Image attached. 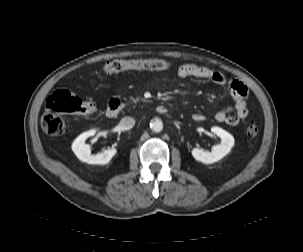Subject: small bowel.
<instances>
[{
  "label": "small bowel",
  "instance_id": "small-bowel-1",
  "mask_svg": "<svg viewBox=\"0 0 303 252\" xmlns=\"http://www.w3.org/2000/svg\"><path fill=\"white\" fill-rule=\"evenodd\" d=\"M178 74L184 78L206 79L219 86H224L226 84V79L222 74L196 64L181 65L178 68ZM230 92L235 102V113L232 114L230 108L224 107L215 113L214 119L220 123L236 126L247 116L248 111L245 100L248 96V91L243 85L233 82L230 84ZM192 119L195 122H203L205 116L202 113L197 112L192 115Z\"/></svg>",
  "mask_w": 303,
  "mask_h": 252
}]
</instances>
